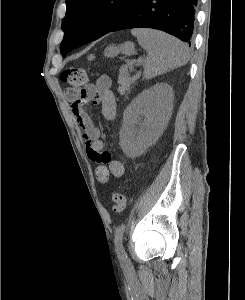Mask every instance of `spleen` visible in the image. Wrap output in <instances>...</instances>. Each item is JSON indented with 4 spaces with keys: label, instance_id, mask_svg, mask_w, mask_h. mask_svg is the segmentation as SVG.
Masks as SVG:
<instances>
[{
    "label": "spleen",
    "instance_id": "obj_1",
    "mask_svg": "<svg viewBox=\"0 0 245 300\" xmlns=\"http://www.w3.org/2000/svg\"><path fill=\"white\" fill-rule=\"evenodd\" d=\"M131 33L148 53L144 66L145 79L185 65L189 60L186 46L166 33L152 29H134Z\"/></svg>",
    "mask_w": 245,
    "mask_h": 300
}]
</instances>
